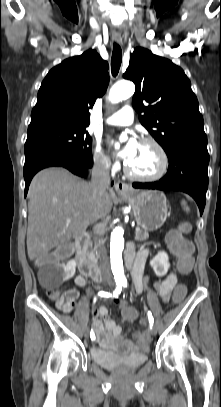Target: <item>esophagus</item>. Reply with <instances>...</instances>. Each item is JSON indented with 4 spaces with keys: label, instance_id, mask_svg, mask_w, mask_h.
I'll list each match as a JSON object with an SVG mask.
<instances>
[{
    "label": "esophagus",
    "instance_id": "34e87169",
    "mask_svg": "<svg viewBox=\"0 0 221 407\" xmlns=\"http://www.w3.org/2000/svg\"><path fill=\"white\" fill-rule=\"evenodd\" d=\"M113 40L117 43H121L122 42V37L120 35H113ZM115 190L118 194H128L130 193V188L129 186L121 181H118L115 184Z\"/></svg>",
    "mask_w": 221,
    "mask_h": 407
}]
</instances>
